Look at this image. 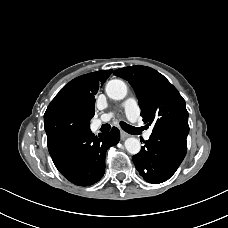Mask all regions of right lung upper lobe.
<instances>
[{
    "instance_id": "cb5924a9",
    "label": "right lung upper lobe",
    "mask_w": 228,
    "mask_h": 228,
    "mask_svg": "<svg viewBox=\"0 0 228 228\" xmlns=\"http://www.w3.org/2000/svg\"><path fill=\"white\" fill-rule=\"evenodd\" d=\"M111 73L112 70L96 71L73 79L60 90L51 104L71 105L92 118L95 113V95Z\"/></svg>"
}]
</instances>
